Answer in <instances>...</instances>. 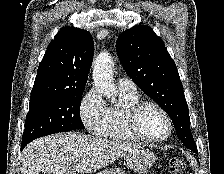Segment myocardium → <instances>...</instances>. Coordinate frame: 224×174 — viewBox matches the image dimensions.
<instances>
[{"label":"myocardium","instance_id":"1","mask_svg":"<svg viewBox=\"0 0 224 174\" xmlns=\"http://www.w3.org/2000/svg\"><path fill=\"white\" fill-rule=\"evenodd\" d=\"M147 107H153L157 109L166 119L168 129H167V132L162 137L151 138V137H147L146 135L142 133L140 129V125H139V119H140V115L142 111ZM125 119H126L127 127L130 130V132L138 140L146 142V143H161L170 137L173 130L172 119L170 115L168 114V112L161 105L153 101L143 100V101L137 102L136 104H134L128 109Z\"/></svg>","mask_w":224,"mask_h":174}]
</instances>
